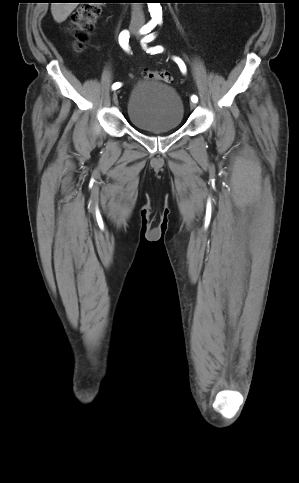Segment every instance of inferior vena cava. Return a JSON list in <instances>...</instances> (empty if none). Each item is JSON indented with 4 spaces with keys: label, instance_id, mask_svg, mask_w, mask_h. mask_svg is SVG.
Here are the masks:
<instances>
[{
    "label": "inferior vena cava",
    "instance_id": "602c4592",
    "mask_svg": "<svg viewBox=\"0 0 299 483\" xmlns=\"http://www.w3.org/2000/svg\"><path fill=\"white\" fill-rule=\"evenodd\" d=\"M131 24L134 29H140L145 23V17L141 3H132Z\"/></svg>",
    "mask_w": 299,
    "mask_h": 483
}]
</instances>
